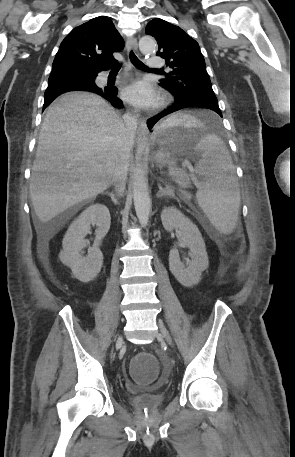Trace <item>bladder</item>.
Instances as JSON below:
<instances>
[{
  "instance_id": "1",
  "label": "bladder",
  "mask_w": 295,
  "mask_h": 457,
  "mask_svg": "<svg viewBox=\"0 0 295 457\" xmlns=\"http://www.w3.org/2000/svg\"><path fill=\"white\" fill-rule=\"evenodd\" d=\"M157 360L163 361L162 367H164L163 374H159L158 379L159 383H169L170 376L174 372L173 367L171 366V362L168 360V353L167 352H158L157 353ZM131 362V361H130ZM165 398L164 393H141L133 397L134 402V409L135 411H157L158 406L161 405Z\"/></svg>"
}]
</instances>
